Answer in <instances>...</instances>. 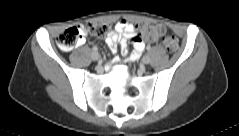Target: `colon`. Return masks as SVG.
<instances>
[{
  "instance_id": "obj_1",
  "label": "colon",
  "mask_w": 239,
  "mask_h": 136,
  "mask_svg": "<svg viewBox=\"0 0 239 136\" xmlns=\"http://www.w3.org/2000/svg\"><path fill=\"white\" fill-rule=\"evenodd\" d=\"M110 29L111 26L107 23H85L63 31L58 36L57 43L61 49L69 50L78 44L82 35L88 33L95 37H103ZM140 35L150 41H160L165 49L171 53L176 52L179 46L178 39L175 36L166 35L162 25L146 24L140 28Z\"/></svg>"
}]
</instances>
